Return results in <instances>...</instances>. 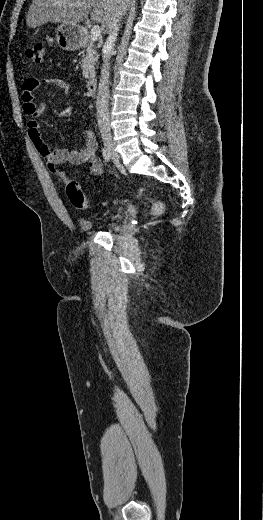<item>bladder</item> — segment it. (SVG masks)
<instances>
[{"instance_id": "31cf9c89", "label": "bladder", "mask_w": 263, "mask_h": 520, "mask_svg": "<svg viewBox=\"0 0 263 520\" xmlns=\"http://www.w3.org/2000/svg\"><path fill=\"white\" fill-rule=\"evenodd\" d=\"M118 222H119V218L117 216L109 217L101 223H98L91 219H85V218L78 219L79 226L81 227V229H83L85 231L92 230L97 226H104L107 228H112V227H115L118 224Z\"/></svg>"}]
</instances>
